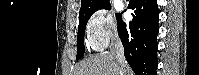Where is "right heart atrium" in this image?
<instances>
[{
	"label": "right heart atrium",
	"instance_id": "right-heart-atrium-1",
	"mask_svg": "<svg viewBox=\"0 0 199 75\" xmlns=\"http://www.w3.org/2000/svg\"><path fill=\"white\" fill-rule=\"evenodd\" d=\"M117 36V25L112 14L106 10L96 11L86 23V37L90 47L102 50Z\"/></svg>",
	"mask_w": 199,
	"mask_h": 75
}]
</instances>
